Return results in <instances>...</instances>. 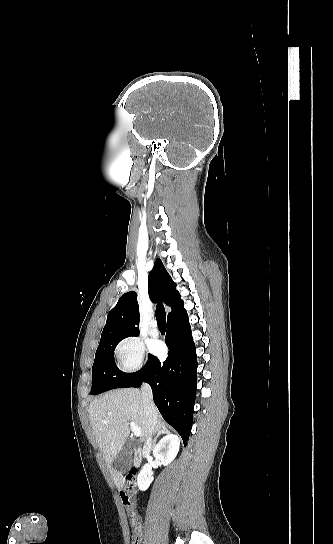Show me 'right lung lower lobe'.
<instances>
[{
    "instance_id": "98d812e1",
    "label": "right lung lower lobe",
    "mask_w": 333,
    "mask_h": 544,
    "mask_svg": "<svg viewBox=\"0 0 333 544\" xmlns=\"http://www.w3.org/2000/svg\"><path fill=\"white\" fill-rule=\"evenodd\" d=\"M166 361L150 355L142 377L129 387L147 382L161 415L176 429L186 445L189 438L197 388V356L187 313L167 319Z\"/></svg>"
}]
</instances>
